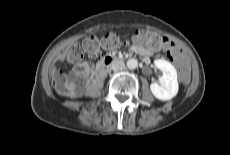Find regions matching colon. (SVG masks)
Wrapping results in <instances>:
<instances>
[{
  "label": "colon",
  "mask_w": 230,
  "mask_h": 155,
  "mask_svg": "<svg viewBox=\"0 0 230 155\" xmlns=\"http://www.w3.org/2000/svg\"><path fill=\"white\" fill-rule=\"evenodd\" d=\"M131 41L148 47H164L170 59L178 66L181 84L183 86L190 84L191 68L189 56L182 54V51L173 42L147 31L136 32L132 35ZM120 45V36L116 32H108L100 40L91 36L84 39L81 45L73 46L69 50L67 58L75 65L74 73L71 78H67L60 69L53 67L51 78L55 90L62 94H71L76 90L83 89L86 86V80L91 71V66L84 62L85 56H97L101 48L115 50Z\"/></svg>",
  "instance_id": "obj_1"
}]
</instances>
